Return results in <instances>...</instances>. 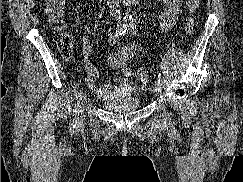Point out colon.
<instances>
[{"label":"colon","mask_w":243,"mask_h":182,"mask_svg":"<svg viewBox=\"0 0 243 182\" xmlns=\"http://www.w3.org/2000/svg\"><path fill=\"white\" fill-rule=\"evenodd\" d=\"M200 0H186L188 19L186 31L191 34L194 26V13L198 10ZM45 9L49 16L50 25L56 31L55 40L60 53L64 58H71L73 55V40L71 34L65 31V10L66 0H46ZM135 76L140 81H147L149 71L144 67L135 70Z\"/></svg>","instance_id":"1"}]
</instances>
